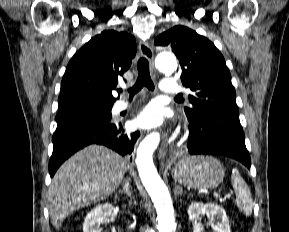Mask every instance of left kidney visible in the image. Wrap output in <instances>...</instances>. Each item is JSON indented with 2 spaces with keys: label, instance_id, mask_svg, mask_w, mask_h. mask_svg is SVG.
Masks as SVG:
<instances>
[{
  "label": "left kidney",
  "instance_id": "left-kidney-1",
  "mask_svg": "<svg viewBox=\"0 0 289 232\" xmlns=\"http://www.w3.org/2000/svg\"><path fill=\"white\" fill-rule=\"evenodd\" d=\"M187 212L189 220L193 223V232H204L199 222L200 216L204 214L211 218L213 232H231L225 210L215 203L193 202L189 205ZM215 219L217 223H214Z\"/></svg>",
  "mask_w": 289,
  "mask_h": 232
}]
</instances>
